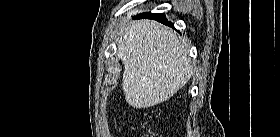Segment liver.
<instances>
[{
	"instance_id": "liver-1",
	"label": "liver",
	"mask_w": 280,
	"mask_h": 137,
	"mask_svg": "<svg viewBox=\"0 0 280 137\" xmlns=\"http://www.w3.org/2000/svg\"><path fill=\"white\" fill-rule=\"evenodd\" d=\"M122 89L134 108L168 100L193 74L187 49L175 31L153 20L131 22L119 38Z\"/></svg>"
}]
</instances>
